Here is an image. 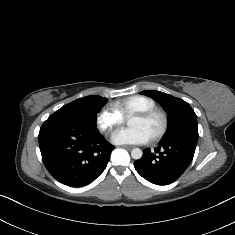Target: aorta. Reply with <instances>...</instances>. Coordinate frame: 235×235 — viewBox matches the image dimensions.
Segmentation results:
<instances>
[{"mask_svg":"<svg viewBox=\"0 0 235 235\" xmlns=\"http://www.w3.org/2000/svg\"><path fill=\"white\" fill-rule=\"evenodd\" d=\"M143 156V152L139 148H134L131 150V157L135 160L141 159Z\"/></svg>","mask_w":235,"mask_h":235,"instance_id":"obj_1","label":"aorta"}]
</instances>
